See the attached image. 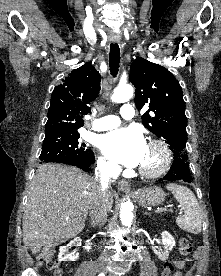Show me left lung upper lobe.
<instances>
[{"mask_svg": "<svg viewBox=\"0 0 221 276\" xmlns=\"http://www.w3.org/2000/svg\"><path fill=\"white\" fill-rule=\"evenodd\" d=\"M129 80L135 87L137 109L149 106L142 115L143 125L165 140L175 158L187 160L185 102L174 75L165 67L138 57L131 65Z\"/></svg>", "mask_w": 221, "mask_h": 276, "instance_id": "left-lung-upper-lobe-1", "label": "left lung upper lobe"}]
</instances>
